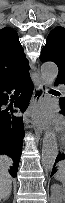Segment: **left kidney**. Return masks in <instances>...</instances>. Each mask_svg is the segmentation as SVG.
Returning <instances> with one entry per match:
<instances>
[{
	"label": "left kidney",
	"mask_w": 65,
	"mask_h": 203,
	"mask_svg": "<svg viewBox=\"0 0 65 203\" xmlns=\"http://www.w3.org/2000/svg\"><path fill=\"white\" fill-rule=\"evenodd\" d=\"M58 189V192L55 193L58 199H54L52 203H64L65 200V189L63 187H60L58 185H54Z\"/></svg>",
	"instance_id": "5707ae66"
}]
</instances>
